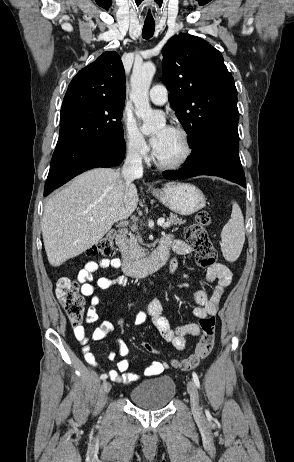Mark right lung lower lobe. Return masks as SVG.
Segmentation results:
<instances>
[{
	"label": "right lung lower lobe",
	"mask_w": 294,
	"mask_h": 462,
	"mask_svg": "<svg viewBox=\"0 0 294 462\" xmlns=\"http://www.w3.org/2000/svg\"><path fill=\"white\" fill-rule=\"evenodd\" d=\"M125 149L123 138L76 140L56 146L44 196L88 169L119 165L124 159Z\"/></svg>",
	"instance_id": "98d812e1"
}]
</instances>
